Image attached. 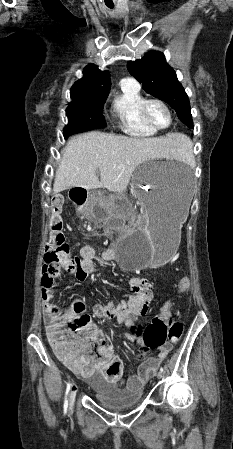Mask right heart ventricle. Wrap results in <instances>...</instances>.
Segmentation results:
<instances>
[{
	"label": "right heart ventricle",
	"mask_w": 233,
	"mask_h": 449,
	"mask_svg": "<svg viewBox=\"0 0 233 449\" xmlns=\"http://www.w3.org/2000/svg\"><path fill=\"white\" fill-rule=\"evenodd\" d=\"M145 99L139 86L121 82L120 92L112 101V114L120 129L131 137L148 138L157 133L141 118L140 108Z\"/></svg>",
	"instance_id": "obj_1"
}]
</instances>
